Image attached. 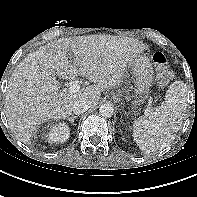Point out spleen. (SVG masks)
I'll return each mask as SVG.
<instances>
[{"mask_svg": "<svg viewBox=\"0 0 197 197\" xmlns=\"http://www.w3.org/2000/svg\"><path fill=\"white\" fill-rule=\"evenodd\" d=\"M186 106L187 87L182 81H175L161 105L135 121L133 138L145 154L155 153L171 144L182 125Z\"/></svg>", "mask_w": 197, "mask_h": 197, "instance_id": "obj_1", "label": "spleen"}]
</instances>
